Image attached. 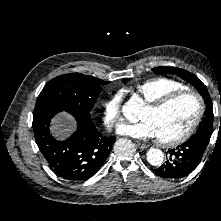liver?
I'll return each instance as SVG.
<instances>
[{"instance_id":"obj_1","label":"liver","mask_w":221,"mask_h":221,"mask_svg":"<svg viewBox=\"0 0 221 221\" xmlns=\"http://www.w3.org/2000/svg\"><path fill=\"white\" fill-rule=\"evenodd\" d=\"M75 128L74 120L68 114H61L53 119L51 127L55 136L65 138Z\"/></svg>"}]
</instances>
